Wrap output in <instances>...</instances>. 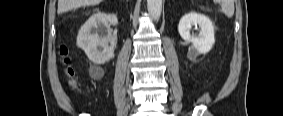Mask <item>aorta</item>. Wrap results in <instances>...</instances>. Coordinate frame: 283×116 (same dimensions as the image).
I'll return each mask as SVG.
<instances>
[{
  "label": "aorta",
  "mask_w": 283,
  "mask_h": 116,
  "mask_svg": "<svg viewBox=\"0 0 283 116\" xmlns=\"http://www.w3.org/2000/svg\"><path fill=\"white\" fill-rule=\"evenodd\" d=\"M147 9L153 19H159L162 12V0H147Z\"/></svg>",
  "instance_id": "obj_1"
}]
</instances>
